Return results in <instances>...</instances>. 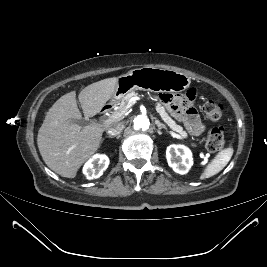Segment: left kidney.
I'll return each instance as SVG.
<instances>
[{
  "mask_svg": "<svg viewBox=\"0 0 267 267\" xmlns=\"http://www.w3.org/2000/svg\"><path fill=\"white\" fill-rule=\"evenodd\" d=\"M168 165L178 174H186L193 164L192 152L184 145H170L166 150Z\"/></svg>",
  "mask_w": 267,
  "mask_h": 267,
  "instance_id": "1",
  "label": "left kidney"
}]
</instances>
